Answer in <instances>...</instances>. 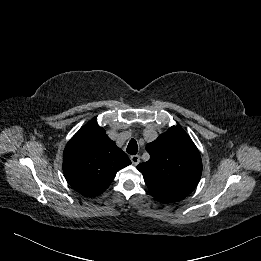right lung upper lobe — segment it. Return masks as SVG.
<instances>
[{
	"mask_svg": "<svg viewBox=\"0 0 261 261\" xmlns=\"http://www.w3.org/2000/svg\"><path fill=\"white\" fill-rule=\"evenodd\" d=\"M131 164L97 122L83 126L63 153V172L71 187L86 196L104 192L116 173Z\"/></svg>",
	"mask_w": 261,
	"mask_h": 261,
	"instance_id": "cb5924a9",
	"label": "right lung upper lobe"
}]
</instances>
